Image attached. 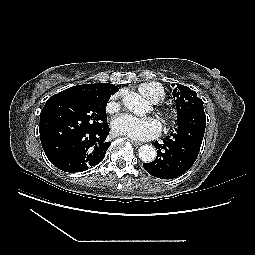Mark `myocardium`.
I'll use <instances>...</instances> for the list:
<instances>
[{"label": "myocardium", "instance_id": "myocardium-1", "mask_svg": "<svg viewBox=\"0 0 255 255\" xmlns=\"http://www.w3.org/2000/svg\"><path fill=\"white\" fill-rule=\"evenodd\" d=\"M164 117L168 123H174L178 119V112L175 110H165Z\"/></svg>", "mask_w": 255, "mask_h": 255}]
</instances>
